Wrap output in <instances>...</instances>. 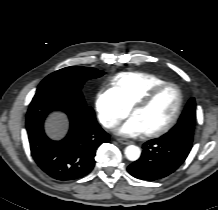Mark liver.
<instances>
[{
    "mask_svg": "<svg viewBox=\"0 0 218 210\" xmlns=\"http://www.w3.org/2000/svg\"><path fill=\"white\" fill-rule=\"evenodd\" d=\"M67 127V119L64 114L53 113L46 121V131L52 138L61 137Z\"/></svg>",
    "mask_w": 218,
    "mask_h": 210,
    "instance_id": "obj_1",
    "label": "liver"
}]
</instances>
